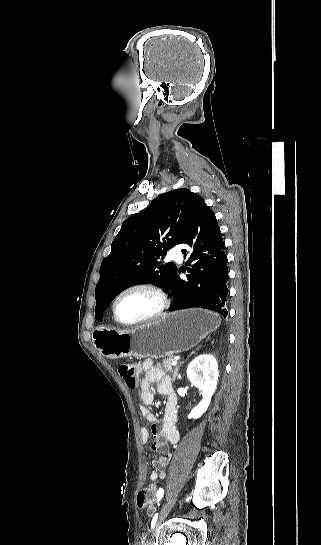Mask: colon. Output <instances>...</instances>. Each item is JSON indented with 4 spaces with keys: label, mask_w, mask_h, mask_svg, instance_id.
<instances>
[{
    "label": "colon",
    "mask_w": 321,
    "mask_h": 545,
    "mask_svg": "<svg viewBox=\"0 0 321 545\" xmlns=\"http://www.w3.org/2000/svg\"><path fill=\"white\" fill-rule=\"evenodd\" d=\"M118 370L126 386L134 389L138 384L136 365L131 362H124L119 366ZM157 493L155 485H148L142 488L137 495L138 507L148 512L154 511L157 503Z\"/></svg>",
    "instance_id": "colon-1"
}]
</instances>
